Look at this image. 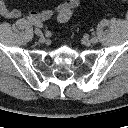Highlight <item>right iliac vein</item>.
Returning a JSON list of instances; mask_svg holds the SVG:
<instances>
[{
  "mask_svg": "<svg viewBox=\"0 0 128 128\" xmlns=\"http://www.w3.org/2000/svg\"><path fill=\"white\" fill-rule=\"evenodd\" d=\"M35 34L38 36V37H43V33H42V31L39 29V28H36L35 29Z\"/></svg>",
  "mask_w": 128,
  "mask_h": 128,
  "instance_id": "right-iliac-vein-1",
  "label": "right iliac vein"
}]
</instances>
